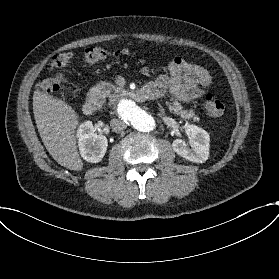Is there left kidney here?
Returning a JSON list of instances; mask_svg holds the SVG:
<instances>
[{
    "label": "left kidney",
    "instance_id": "obj_1",
    "mask_svg": "<svg viewBox=\"0 0 279 279\" xmlns=\"http://www.w3.org/2000/svg\"><path fill=\"white\" fill-rule=\"evenodd\" d=\"M185 133L189 137V145L182 139L172 143L173 150L194 163H204L209 157L210 136L207 131L193 124H188Z\"/></svg>",
    "mask_w": 279,
    "mask_h": 279
}]
</instances>
